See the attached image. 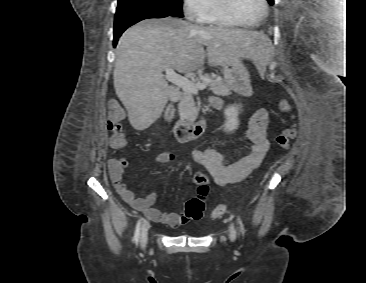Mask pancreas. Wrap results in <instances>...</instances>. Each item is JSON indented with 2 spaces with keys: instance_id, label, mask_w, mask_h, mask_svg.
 <instances>
[{
  "instance_id": "pancreas-1",
  "label": "pancreas",
  "mask_w": 366,
  "mask_h": 283,
  "mask_svg": "<svg viewBox=\"0 0 366 283\" xmlns=\"http://www.w3.org/2000/svg\"><path fill=\"white\" fill-rule=\"evenodd\" d=\"M191 77L194 81L201 83L205 82V80H210V82L208 83L209 90H211L215 95L228 96L231 94V88L227 84H225L220 78L209 76L207 74L201 78H195V75L191 74ZM196 110L197 108L192 93L184 91L181 95L179 103L180 116L189 121H192L195 118Z\"/></svg>"
}]
</instances>
